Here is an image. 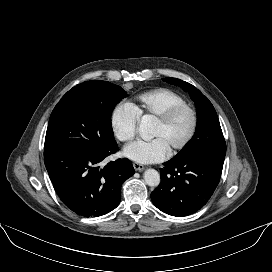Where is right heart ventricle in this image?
<instances>
[{"mask_svg": "<svg viewBox=\"0 0 272 272\" xmlns=\"http://www.w3.org/2000/svg\"><path fill=\"white\" fill-rule=\"evenodd\" d=\"M185 103L178 93L168 88H155L138 95L131 107L138 119L156 118L168 108Z\"/></svg>", "mask_w": 272, "mask_h": 272, "instance_id": "right-heart-ventricle-1", "label": "right heart ventricle"}]
</instances>
